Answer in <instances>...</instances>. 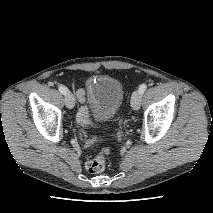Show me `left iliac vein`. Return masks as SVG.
Masks as SVG:
<instances>
[{
    "mask_svg": "<svg viewBox=\"0 0 213 213\" xmlns=\"http://www.w3.org/2000/svg\"><path fill=\"white\" fill-rule=\"evenodd\" d=\"M142 94L139 91H134L131 96V107L138 110L141 106Z\"/></svg>",
    "mask_w": 213,
    "mask_h": 213,
    "instance_id": "left-iliac-vein-1",
    "label": "left iliac vein"
}]
</instances>
